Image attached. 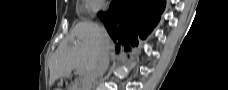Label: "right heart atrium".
Segmentation results:
<instances>
[{
  "instance_id": "d8ad5b80",
  "label": "right heart atrium",
  "mask_w": 228,
  "mask_h": 90,
  "mask_svg": "<svg viewBox=\"0 0 228 90\" xmlns=\"http://www.w3.org/2000/svg\"><path fill=\"white\" fill-rule=\"evenodd\" d=\"M84 3L88 13H97L104 7L106 2L104 0H86Z\"/></svg>"
}]
</instances>
